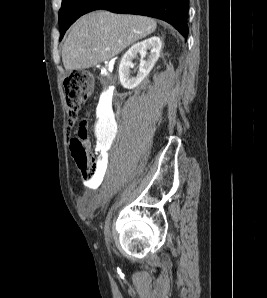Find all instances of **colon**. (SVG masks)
<instances>
[{
	"mask_svg": "<svg viewBox=\"0 0 267 298\" xmlns=\"http://www.w3.org/2000/svg\"><path fill=\"white\" fill-rule=\"evenodd\" d=\"M64 88L69 122L73 123L78 117L81 105L91 93L92 77L86 71H75L65 78ZM86 138L87 123L82 122L78 137L70 141V150L81 177L85 181H92L96 177L98 158L90 154L85 143Z\"/></svg>",
	"mask_w": 267,
	"mask_h": 298,
	"instance_id": "5ec220e1",
	"label": "colon"
}]
</instances>
